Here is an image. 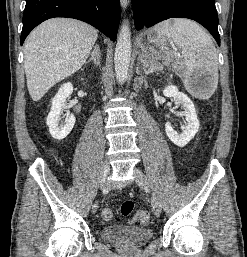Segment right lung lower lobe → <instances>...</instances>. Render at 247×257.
Here are the masks:
<instances>
[{
    "label": "right lung lower lobe",
    "instance_id": "obj_1",
    "mask_svg": "<svg viewBox=\"0 0 247 257\" xmlns=\"http://www.w3.org/2000/svg\"><path fill=\"white\" fill-rule=\"evenodd\" d=\"M120 16L119 0H26L20 43L34 27L53 17L82 20L115 41Z\"/></svg>",
    "mask_w": 247,
    "mask_h": 257
}]
</instances>
